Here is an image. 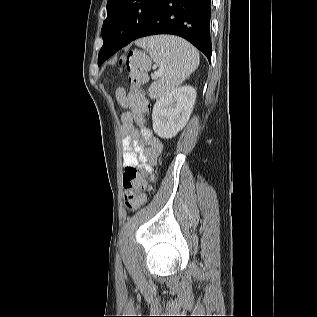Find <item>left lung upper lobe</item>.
Here are the masks:
<instances>
[{
    "label": "left lung upper lobe",
    "instance_id": "1",
    "mask_svg": "<svg viewBox=\"0 0 317 317\" xmlns=\"http://www.w3.org/2000/svg\"><path fill=\"white\" fill-rule=\"evenodd\" d=\"M163 0H108L107 18L103 22L104 42L115 44L130 43ZM105 49L99 52L98 65L102 64Z\"/></svg>",
    "mask_w": 317,
    "mask_h": 317
}]
</instances>
